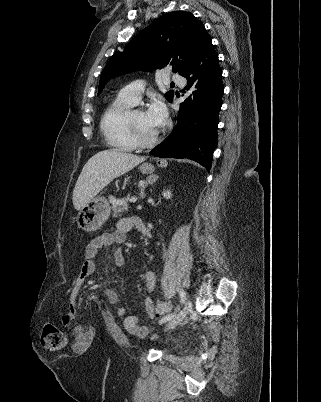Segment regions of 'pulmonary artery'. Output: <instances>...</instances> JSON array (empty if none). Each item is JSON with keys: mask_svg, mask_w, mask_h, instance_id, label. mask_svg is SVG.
I'll return each mask as SVG.
<instances>
[{"mask_svg": "<svg viewBox=\"0 0 321 402\" xmlns=\"http://www.w3.org/2000/svg\"><path fill=\"white\" fill-rule=\"evenodd\" d=\"M168 83H176L179 85L185 84V78L178 74H173L167 80ZM143 85L141 82H133L122 88L118 94V98L127 101L131 104H137L141 98Z\"/></svg>", "mask_w": 321, "mask_h": 402, "instance_id": "1", "label": "pulmonary artery"}]
</instances>
